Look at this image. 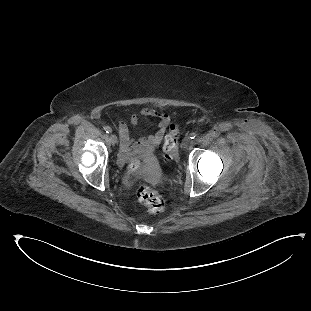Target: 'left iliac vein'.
<instances>
[{"instance_id":"4c4485c4","label":"left iliac vein","mask_w":311,"mask_h":311,"mask_svg":"<svg viewBox=\"0 0 311 311\" xmlns=\"http://www.w3.org/2000/svg\"><path fill=\"white\" fill-rule=\"evenodd\" d=\"M191 142V138L189 136H186L184 137L183 141H182V146L184 148L188 147V145L190 144Z\"/></svg>"}]
</instances>
